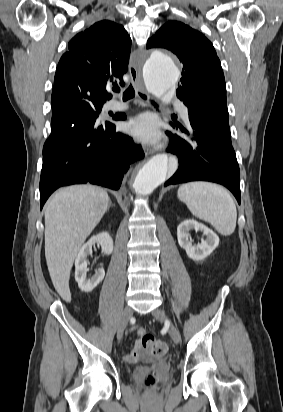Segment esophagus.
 Returning a JSON list of instances; mask_svg holds the SVG:
<instances>
[{
  "mask_svg": "<svg viewBox=\"0 0 283 412\" xmlns=\"http://www.w3.org/2000/svg\"><path fill=\"white\" fill-rule=\"evenodd\" d=\"M129 73H130L131 81H132V83L134 84V86L136 88V94H137L138 98L146 104L149 103L150 95L147 93L144 86L142 85L141 64L138 60L137 61H130ZM154 152H155L154 150H149L148 151L149 154H153Z\"/></svg>",
  "mask_w": 283,
  "mask_h": 412,
  "instance_id": "34e87169",
  "label": "esophagus"
}]
</instances>
